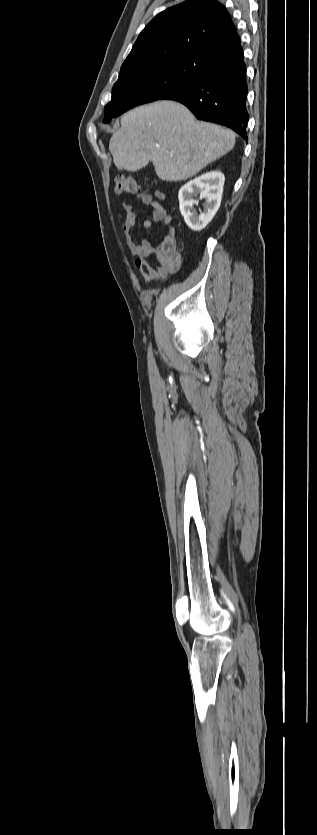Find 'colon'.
Wrapping results in <instances>:
<instances>
[{"instance_id":"colon-1","label":"colon","mask_w":317,"mask_h":835,"mask_svg":"<svg viewBox=\"0 0 317 835\" xmlns=\"http://www.w3.org/2000/svg\"><path fill=\"white\" fill-rule=\"evenodd\" d=\"M140 191V185L132 176L118 175L115 178V192L118 194H134ZM161 251L170 258H177L176 240L173 236L165 238L160 247Z\"/></svg>"}]
</instances>
